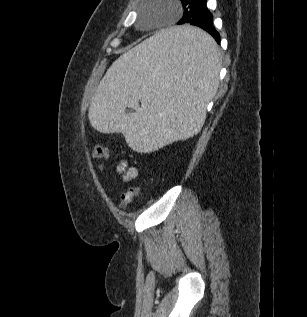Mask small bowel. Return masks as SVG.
Masks as SVG:
<instances>
[{
    "label": "small bowel",
    "instance_id": "1",
    "mask_svg": "<svg viewBox=\"0 0 307 317\" xmlns=\"http://www.w3.org/2000/svg\"><path fill=\"white\" fill-rule=\"evenodd\" d=\"M116 171L122 175V179L124 182H129L132 179L136 178L138 175V169L129 166L125 161H121L117 165Z\"/></svg>",
    "mask_w": 307,
    "mask_h": 317
}]
</instances>
